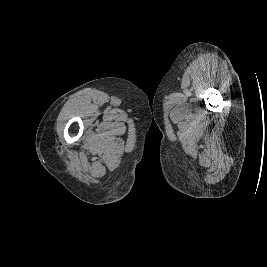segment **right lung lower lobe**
Masks as SVG:
<instances>
[{"label": "right lung lower lobe", "mask_w": 267, "mask_h": 267, "mask_svg": "<svg viewBox=\"0 0 267 267\" xmlns=\"http://www.w3.org/2000/svg\"><path fill=\"white\" fill-rule=\"evenodd\" d=\"M153 148L154 147L150 144L149 139L147 138L144 156L150 155L153 151Z\"/></svg>", "instance_id": "obj_1"}]
</instances>
